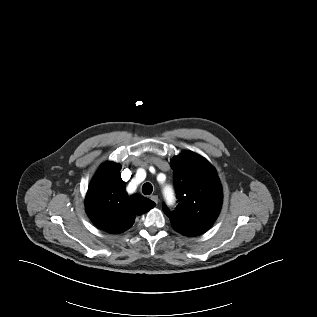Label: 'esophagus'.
<instances>
[{"label":"esophagus","mask_w":317,"mask_h":317,"mask_svg":"<svg viewBox=\"0 0 317 317\" xmlns=\"http://www.w3.org/2000/svg\"><path fill=\"white\" fill-rule=\"evenodd\" d=\"M150 199L154 201L156 204L159 202V197L157 195L150 196Z\"/></svg>","instance_id":"esophagus-1"}]
</instances>
